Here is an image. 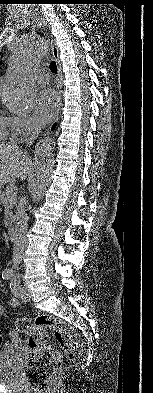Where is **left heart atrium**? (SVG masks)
<instances>
[{
  "instance_id": "obj_1",
  "label": "left heart atrium",
  "mask_w": 153,
  "mask_h": 393,
  "mask_svg": "<svg viewBox=\"0 0 153 393\" xmlns=\"http://www.w3.org/2000/svg\"><path fill=\"white\" fill-rule=\"evenodd\" d=\"M59 104V96L53 89H43L34 100V118L41 125L48 123L56 115Z\"/></svg>"
}]
</instances>
